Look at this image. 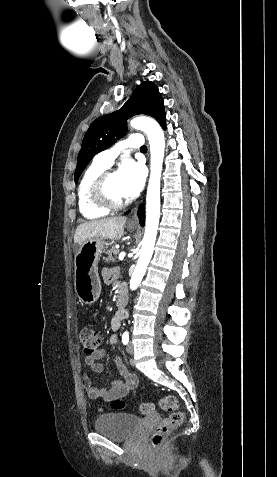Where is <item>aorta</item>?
I'll use <instances>...</instances> for the list:
<instances>
[{
    "mask_svg": "<svg viewBox=\"0 0 277 477\" xmlns=\"http://www.w3.org/2000/svg\"><path fill=\"white\" fill-rule=\"evenodd\" d=\"M131 127L142 130L150 145V178L146 195V223L140 256L130 280V289L138 288L152 257L160 218V181L165 151V138L160 125L148 117H137Z\"/></svg>",
    "mask_w": 277,
    "mask_h": 477,
    "instance_id": "obj_1",
    "label": "aorta"
}]
</instances>
